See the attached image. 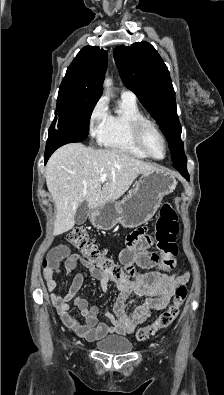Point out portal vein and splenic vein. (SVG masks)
Here are the masks:
<instances>
[{"mask_svg": "<svg viewBox=\"0 0 224 395\" xmlns=\"http://www.w3.org/2000/svg\"><path fill=\"white\" fill-rule=\"evenodd\" d=\"M106 180H107V174L104 173V174L101 175L100 181H101V182H105Z\"/></svg>", "mask_w": 224, "mask_h": 395, "instance_id": "1", "label": "portal vein and splenic vein"}]
</instances>
